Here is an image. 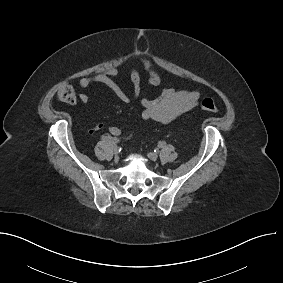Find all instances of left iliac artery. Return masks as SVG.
I'll return each instance as SVG.
<instances>
[{
	"mask_svg": "<svg viewBox=\"0 0 283 283\" xmlns=\"http://www.w3.org/2000/svg\"><path fill=\"white\" fill-rule=\"evenodd\" d=\"M165 145H166V142L162 141V142H159L158 147L163 148Z\"/></svg>",
	"mask_w": 283,
	"mask_h": 283,
	"instance_id": "obj_1",
	"label": "left iliac artery"
}]
</instances>
